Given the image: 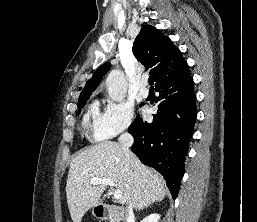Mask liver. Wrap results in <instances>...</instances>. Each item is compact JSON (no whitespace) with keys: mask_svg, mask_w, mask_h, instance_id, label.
Here are the masks:
<instances>
[{"mask_svg":"<svg viewBox=\"0 0 257 222\" xmlns=\"http://www.w3.org/2000/svg\"><path fill=\"white\" fill-rule=\"evenodd\" d=\"M94 177L113 180L122 192L121 203H132L136 210L161 201L166 195L162 176L133 153L128 160L120 144L104 141L79 153L70 164L66 195L73 222H81L90 208L102 204L101 195L107 185L90 184Z\"/></svg>","mask_w":257,"mask_h":222,"instance_id":"6515ba94","label":"liver"}]
</instances>
